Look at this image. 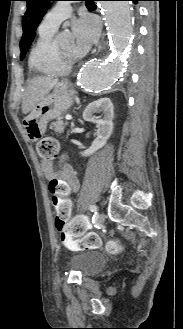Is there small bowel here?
Wrapping results in <instances>:
<instances>
[{
	"label": "small bowel",
	"instance_id": "1",
	"mask_svg": "<svg viewBox=\"0 0 183 329\" xmlns=\"http://www.w3.org/2000/svg\"><path fill=\"white\" fill-rule=\"evenodd\" d=\"M42 170L47 177L45 188L51 202V207L55 208L54 218H75V208L78 207L76 192L79 190L78 180L69 167L57 170L48 161L42 163ZM66 186V187H65ZM86 224H90L87 221ZM63 245L70 250H76L77 241L75 239H63Z\"/></svg>",
	"mask_w": 183,
	"mask_h": 329
}]
</instances>
